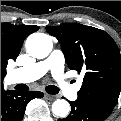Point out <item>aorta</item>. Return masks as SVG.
I'll use <instances>...</instances> for the list:
<instances>
[{"instance_id":"1","label":"aorta","mask_w":121,"mask_h":121,"mask_svg":"<svg viewBox=\"0 0 121 121\" xmlns=\"http://www.w3.org/2000/svg\"><path fill=\"white\" fill-rule=\"evenodd\" d=\"M53 44L51 38L43 33H33L26 40V49L29 55L37 59L46 58ZM70 106L66 100L58 99L52 104V112L58 117H66L69 114Z\"/></svg>"}]
</instances>
